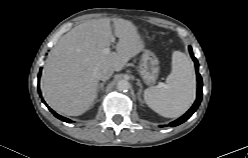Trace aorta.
<instances>
[{
  "instance_id": "obj_1",
  "label": "aorta",
  "mask_w": 248,
  "mask_h": 158,
  "mask_svg": "<svg viewBox=\"0 0 248 158\" xmlns=\"http://www.w3.org/2000/svg\"><path fill=\"white\" fill-rule=\"evenodd\" d=\"M129 88H130V83L127 80H120V81H118V83H117V89L119 91L126 92V91L129 90Z\"/></svg>"
}]
</instances>
